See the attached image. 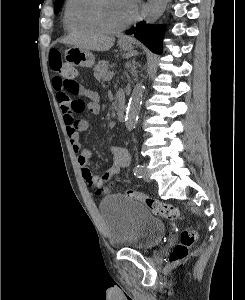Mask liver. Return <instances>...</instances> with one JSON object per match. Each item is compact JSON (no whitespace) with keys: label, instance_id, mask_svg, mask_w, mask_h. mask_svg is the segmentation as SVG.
Returning <instances> with one entry per match:
<instances>
[{"label":"liver","instance_id":"1","mask_svg":"<svg viewBox=\"0 0 245 300\" xmlns=\"http://www.w3.org/2000/svg\"><path fill=\"white\" fill-rule=\"evenodd\" d=\"M61 42L86 50L107 51L114 45L115 38L104 35L68 36Z\"/></svg>","mask_w":245,"mask_h":300}]
</instances>
